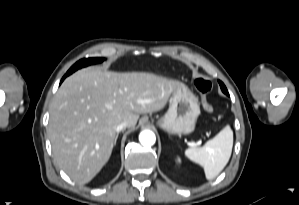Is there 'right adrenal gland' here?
<instances>
[{"label":"right adrenal gland","instance_id":"2a0ac1e0","mask_svg":"<svg viewBox=\"0 0 299 205\" xmlns=\"http://www.w3.org/2000/svg\"><path fill=\"white\" fill-rule=\"evenodd\" d=\"M118 133H117V135H116V137H115V141H114V145H116V142H117V139H118Z\"/></svg>","mask_w":299,"mask_h":205}]
</instances>
